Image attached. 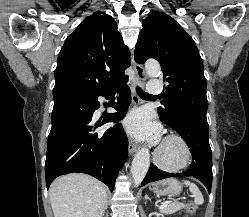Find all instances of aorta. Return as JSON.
<instances>
[{
	"mask_svg": "<svg viewBox=\"0 0 249 217\" xmlns=\"http://www.w3.org/2000/svg\"><path fill=\"white\" fill-rule=\"evenodd\" d=\"M146 73L149 77H154L160 72L159 63L149 60L145 64ZM150 166V152L146 148L140 149L134 156L131 166V175L135 185H139Z\"/></svg>",
	"mask_w": 249,
	"mask_h": 217,
	"instance_id": "obj_1",
	"label": "aorta"
}]
</instances>
